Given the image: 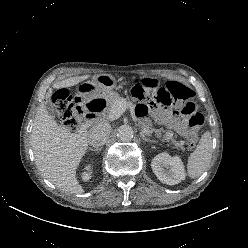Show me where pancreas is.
<instances>
[{
  "instance_id": "obj_1",
  "label": "pancreas",
  "mask_w": 248,
  "mask_h": 248,
  "mask_svg": "<svg viewBox=\"0 0 248 248\" xmlns=\"http://www.w3.org/2000/svg\"><path fill=\"white\" fill-rule=\"evenodd\" d=\"M118 101H126L127 104L129 103L125 98H122L117 93H114V94H112V96L108 100V104H107L105 111L109 112L110 109L112 108V106ZM139 126L142 129L146 130L148 132V134L155 133L158 138H162V140H166V141H171L177 148H180L183 151L185 150L183 147L184 141H176L173 138V132H171V131H167V132H165L164 135H161L162 130L161 129H154L152 127V123H151L150 119L145 118V119L139 120Z\"/></svg>"
}]
</instances>
